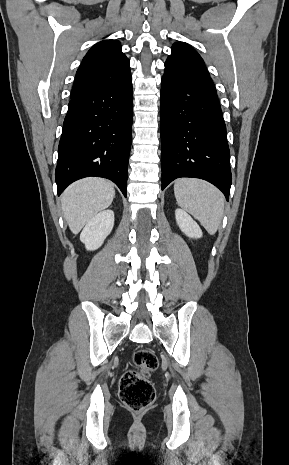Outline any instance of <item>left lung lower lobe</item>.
I'll return each instance as SVG.
<instances>
[{"label": "left lung lower lobe", "instance_id": "0a47b994", "mask_svg": "<svg viewBox=\"0 0 289 465\" xmlns=\"http://www.w3.org/2000/svg\"><path fill=\"white\" fill-rule=\"evenodd\" d=\"M162 190L179 177L201 178L229 200L230 152L209 75L165 71L161 87Z\"/></svg>", "mask_w": 289, "mask_h": 465}]
</instances>
